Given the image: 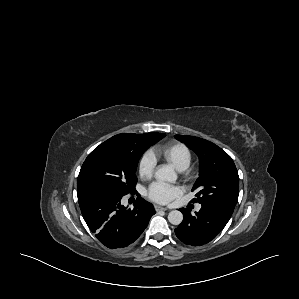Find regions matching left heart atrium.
<instances>
[{
    "label": "left heart atrium",
    "instance_id": "39dd6f15",
    "mask_svg": "<svg viewBox=\"0 0 299 299\" xmlns=\"http://www.w3.org/2000/svg\"><path fill=\"white\" fill-rule=\"evenodd\" d=\"M181 194L177 186L167 185L161 182L153 183L148 190V196L155 202L167 204Z\"/></svg>",
    "mask_w": 299,
    "mask_h": 299
}]
</instances>
